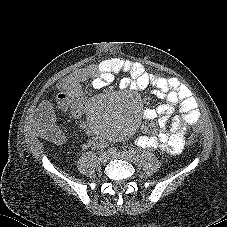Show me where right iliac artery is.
<instances>
[{"label": "right iliac artery", "mask_w": 227, "mask_h": 227, "mask_svg": "<svg viewBox=\"0 0 227 227\" xmlns=\"http://www.w3.org/2000/svg\"><path fill=\"white\" fill-rule=\"evenodd\" d=\"M116 148L115 147H111V148H109L108 149V152L110 153V154H114V153H116Z\"/></svg>", "instance_id": "obj_1"}]
</instances>
